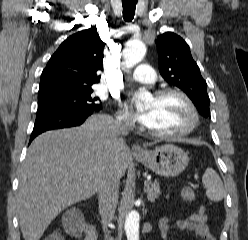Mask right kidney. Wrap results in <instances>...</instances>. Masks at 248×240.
Returning a JSON list of instances; mask_svg holds the SVG:
<instances>
[{"instance_id":"right-kidney-1","label":"right kidney","mask_w":248,"mask_h":240,"mask_svg":"<svg viewBox=\"0 0 248 240\" xmlns=\"http://www.w3.org/2000/svg\"><path fill=\"white\" fill-rule=\"evenodd\" d=\"M72 236H75V237H80L81 235H79L77 232H72L71 233Z\"/></svg>"}]
</instances>
